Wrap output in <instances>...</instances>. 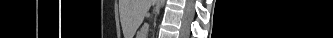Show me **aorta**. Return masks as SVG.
<instances>
[{
	"label": "aorta",
	"instance_id": "aorta-1",
	"mask_svg": "<svg viewBox=\"0 0 333 38\" xmlns=\"http://www.w3.org/2000/svg\"><path fill=\"white\" fill-rule=\"evenodd\" d=\"M158 1H159L158 5H159L160 7H163L164 4H165V0H158Z\"/></svg>",
	"mask_w": 333,
	"mask_h": 38
}]
</instances>
